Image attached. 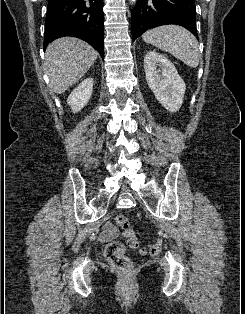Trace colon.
Returning a JSON list of instances; mask_svg holds the SVG:
<instances>
[{
    "label": "colon",
    "instance_id": "obj_1",
    "mask_svg": "<svg viewBox=\"0 0 245 314\" xmlns=\"http://www.w3.org/2000/svg\"><path fill=\"white\" fill-rule=\"evenodd\" d=\"M116 223L122 229L123 236L127 240L130 247L139 249L141 253L151 256L158 254L161 250V245L159 243H155L147 247L142 246L126 215L118 214L116 217ZM105 256L110 264L118 270L128 271L132 268V262L126 254V247L120 241H113L108 244L105 250Z\"/></svg>",
    "mask_w": 245,
    "mask_h": 314
}]
</instances>
